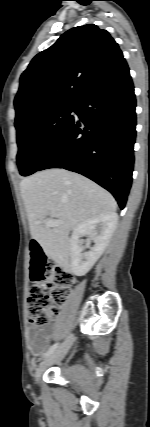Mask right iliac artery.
Masks as SVG:
<instances>
[{"label":"right iliac artery","instance_id":"right-iliac-artery-1","mask_svg":"<svg viewBox=\"0 0 150 427\" xmlns=\"http://www.w3.org/2000/svg\"><path fill=\"white\" fill-rule=\"evenodd\" d=\"M58 347V343L52 345L49 350L44 354V358L49 357Z\"/></svg>","mask_w":150,"mask_h":427}]
</instances>
